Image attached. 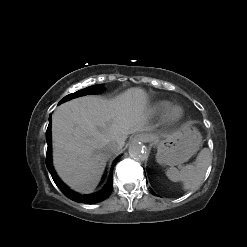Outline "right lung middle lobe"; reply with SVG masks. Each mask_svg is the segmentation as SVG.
Wrapping results in <instances>:
<instances>
[{
  "instance_id": "dd1d6c3e",
  "label": "right lung middle lobe",
  "mask_w": 247,
  "mask_h": 247,
  "mask_svg": "<svg viewBox=\"0 0 247 247\" xmlns=\"http://www.w3.org/2000/svg\"><path fill=\"white\" fill-rule=\"evenodd\" d=\"M102 91V88H101V85H93V86H90V87H87L83 90H79L73 94H69L67 95L66 97H64L60 102H65V101H68L72 98H76V97H79V96H83V95H86V94H94V93H98Z\"/></svg>"
}]
</instances>
